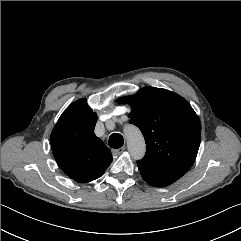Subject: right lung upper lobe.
Masks as SVG:
<instances>
[{
	"label": "right lung upper lobe",
	"mask_w": 241,
	"mask_h": 241,
	"mask_svg": "<svg viewBox=\"0 0 241 241\" xmlns=\"http://www.w3.org/2000/svg\"><path fill=\"white\" fill-rule=\"evenodd\" d=\"M97 114L86 99L73 102L54 129L50 141L59 168L80 183L100 177L112 162V154L94 133Z\"/></svg>",
	"instance_id": "right-lung-upper-lobe-1"
}]
</instances>
